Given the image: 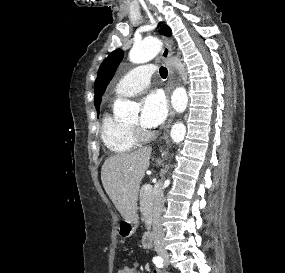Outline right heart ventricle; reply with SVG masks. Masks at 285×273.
<instances>
[{"instance_id": "e07e8e85", "label": "right heart ventricle", "mask_w": 285, "mask_h": 273, "mask_svg": "<svg viewBox=\"0 0 285 273\" xmlns=\"http://www.w3.org/2000/svg\"><path fill=\"white\" fill-rule=\"evenodd\" d=\"M100 135L104 145L117 154L130 152L138 144L127 124L117 120L111 112L102 117Z\"/></svg>"}]
</instances>
